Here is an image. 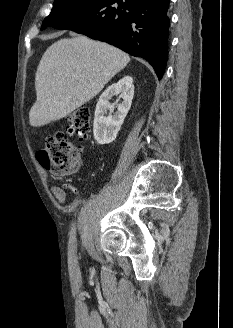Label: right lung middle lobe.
Returning <instances> with one entry per match:
<instances>
[{"label":"right lung middle lobe","mask_w":233,"mask_h":328,"mask_svg":"<svg viewBox=\"0 0 233 328\" xmlns=\"http://www.w3.org/2000/svg\"><path fill=\"white\" fill-rule=\"evenodd\" d=\"M96 0H55L52 11L43 21L41 30L55 21L67 17L94 3Z\"/></svg>","instance_id":"dd1d6c3e"}]
</instances>
